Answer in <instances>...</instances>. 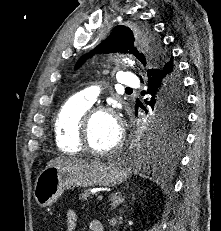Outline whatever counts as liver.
<instances>
[{"mask_svg": "<svg viewBox=\"0 0 221 231\" xmlns=\"http://www.w3.org/2000/svg\"><path fill=\"white\" fill-rule=\"evenodd\" d=\"M84 160L82 159H77V158H72V157H57L53 160H50L47 163V167H53V166H63V165H68V164H73V163H78V162H83Z\"/></svg>", "mask_w": 221, "mask_h": 231, "instance_id": "obj_1", "label": "liver"}]
</instances>
